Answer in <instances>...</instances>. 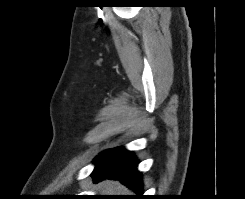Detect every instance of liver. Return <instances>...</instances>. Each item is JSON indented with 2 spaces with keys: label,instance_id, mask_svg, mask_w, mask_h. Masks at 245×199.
<instances>
[{
  "label": "liver",
  "instance_id": "6515ba94",
  "mask_svg": "<svg viewBox=\"0 0 245 199\" xmlns=\"http://www.w3.org/2000/svg\"><path fill=\"white\" fill-rule=\"evenodd\" d=\"M100 189L102 193H109L105 195H120L119 193H127V189L116 181H104L100 185ZM118 193V194H116Z\"/></svg>",
  "mask_w": 245,
  "mask_h": 199
}]
</instances>
